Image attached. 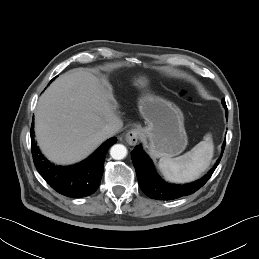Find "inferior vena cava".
Wrapping results in <instances>:
<instances>
[{
  "mask_svg": "<svg viewBox=\"0 0 259 259\" xmlns=\"http://www.w3.org/2000/svg\"><path fill=\"white\" fill-rule=\"evenodd\" d=\"M119 130V126L115 123H110L107 124L104 128H103V132L108 135V136H112L115 133H117Z\"/></svg>",
  "mask_w": 259,
  "mask_h": 259,
  "instance_id": "obj_1",
  "label": "inferior vena cava"
}]
</instances>
